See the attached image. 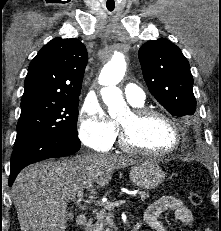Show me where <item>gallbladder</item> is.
I'll list each match as a JSON object with an SVG mask.
<instances>
[{
  "label": "gallbladder",
  "instance_id": "obj_1",
  "mask_svg": "<svg viewBox=\"0 0 221 231\" xmlns=\"http://www.w3.org/2000/svg\"><path fill=\"white\" fill-rule=\"evenodd\" d=\"M73 217H74V216H73V213H69V214H68V219H73Z\"/></svg>",
  "mask_w": 221,
  "mask_h": 231
}]
</instances>
